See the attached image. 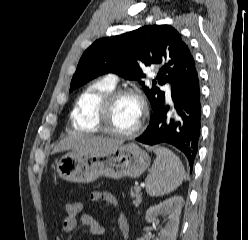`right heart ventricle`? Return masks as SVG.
<instances>
[{"label":"right heart ventricle","mask_w":248,"mask_h":240,"mask_svg":"<svg viewBox=\"0 0 248 240\" xmlns=\"http://www.w3.org/2000/svg\"><path fill=\"white\" fill-rule=\"evenodd\" d=\"M115 88L108 79H100L87 86L78 96L70 114L72 129L96 133L95 110L101 99Z\"/></svg>","instance_id":"e07e8e85"}]
</instances>
